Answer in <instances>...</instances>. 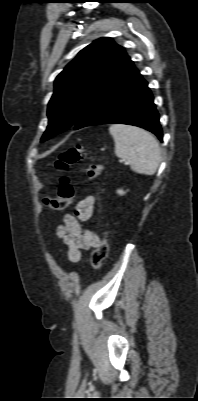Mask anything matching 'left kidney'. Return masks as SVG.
I'll use <instances>...</instances> for the list:
<instances>
[{"instance_id":"5707ae66","label":"left kidney","mask_w":198,"mask_h":401,"mask_svg":"<svg viewBox=\"0 0 198 401\" xmlns=\"http://www.w3.org/2000/svg\"><path fill=\"white\" fill-rule=\"evenodd\" d=\"M117 193H118L119 195L125 194V192H124L123 190H118Z\"/></svg>"}]
</instances>
